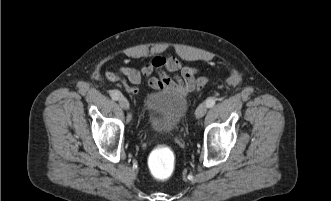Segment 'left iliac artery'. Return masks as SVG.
I'll return each mask as SVG.
<instances>
[{"label": "left iliac artery", "mask_w": 331, "mask_h": 201, "mask_svg": "<svg viewBox=\"0 0 331 201\" xmlns=\"http://www.w3.org/2000/svg\"><path fill=\"white\" fill-rule=\"evenodd\" d=\"M214 105H215V100H214L213 98H209V99L206 100V106H207L208 108H211V107H213Z\"/></svg>", "instance_id": "left-iliac-artery-1"}]
</instances>
